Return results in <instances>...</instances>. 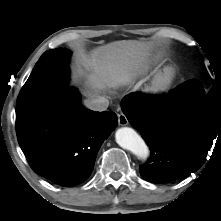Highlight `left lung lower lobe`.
<instances>
[{
    "mask_svg": "<svg viewBox=\"0 0 221 221\" xmlns=\"http://www.w3.org/2000/svg\"><path fill=\"white\" fill-rule=\"evenodd\" d=\"M200 84L192 79L167 96L129 94L122 99L125 116L151 150L150 159L140 167L145 180L167 183L189 176L205 162L213 140H221V106L185 105L176 99Z\"/></svg>",
    "mask_w": 221,
    "mask_h": 221,
    "instance_id": "1",
    "label": "left lung lower lobe"
}]
</instances>
